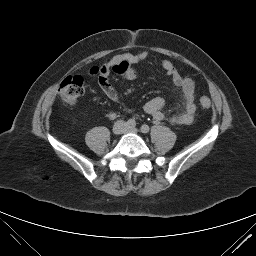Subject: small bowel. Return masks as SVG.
Wrapping results in <instances>:
<instances>
[{"instance_id":"obj_1","label":"small bowel","mask_w":256,"mask_h":256,"mask_svg":"<svg viewBox=\"0 0 256 256\" xmlns=\"http://www.w3.org/2000/svg\"><path fill=\"white\" fill-rule=\"evenodd\" d=\"M147 57V51L123 53L113 56L101 65L99 85L110 100L118 101L119 94L110 84L109 75L115 73L122 75L127 79L135 80L138 77V73L133 66L144 61ZM161 67L180 91V111L167 118L163 112L164 100L160 97H154L147 101L144 105V111L155 121H163L167 119L171 125L175 126L191 124L196 111V92L193 80L189 76L180 73L168 60L162 61Z\"/></svg>"}]
</instances>
